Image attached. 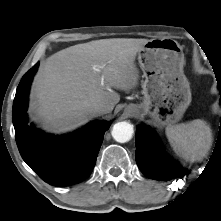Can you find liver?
Wrapping results in <instances>:
<instances>
[{
    "label": "liver",
    "instance_id": "liver-1",
    "mask_svg": "<svg viewBox=\"0 0 221 221\" xmlns=\"http://www.w3.org/2000/svg\"><path fill=\"white\" fill-rule=\"evenodd\" d=\"M148 41L101 39L51 55L34 79L30 111L54 133L86 123L91 119L86 112L89 105L103 104L110 113L120 101L111 87L129 91L137 85L135 58Z\"/></svg>",
    "mask_w": 221,
    "mask_h": 221
}]
</instances>
